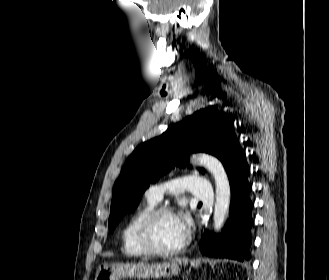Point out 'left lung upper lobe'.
<instances>
[{
  "instance_id": "1",
  "label": "left lung upper lobe",
  "mask_w": 329,
  "mask_h": 280,
  "mask_svg": "<svg viewBox=\"0 0 329 280\" xmlns=\"http://www.w3.org/2000/svg\"><path fill=\"white\" fill-rule=\"evenodd\" d=\"M198 151L219 158L228 175L239 167L244 151L235 135L233 122L225 113L212 108L201 109L134 150L113 187L110 231H114L126 211L138 207L150 182H156L176 164L185 166L188 155Z\"/></svg>"
}]
</instances>
